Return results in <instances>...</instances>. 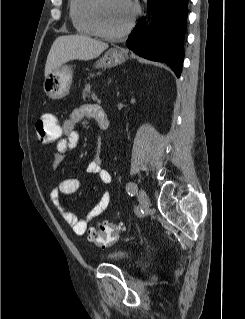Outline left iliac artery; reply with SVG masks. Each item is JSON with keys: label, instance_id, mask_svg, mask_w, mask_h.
<instances>
[{"label": "left iliac artery", "instance_id": "obj_1", "mask_svg": "<svg viewBox=\"0 0 245 319\" xmlns=\"http://www.w3.org/2000/svg\"><path fill=\"white\" fill-rule=\"evenodd\" d=\"M126 190H127V193L130 195V196H133L135 195L136 191H137V185L134 183V182H129L127 185H126Z\"/></svg>", "mask_w": 245, "mask_h": 319}]
</instances>
